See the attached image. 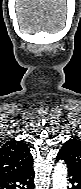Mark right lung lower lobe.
I'll list each match as a JSON object with an SVG mask.
<instances>
[{
  "mask_svg": "<svg viewBox=\"0 0 81 189\" xmlns=\"http://www.w3.org/2000/svg\"><path fill=\"white\" fill-rule=\"evenodd\" d=\"M31 162L26 168L0 179V189H34V171Z\"/></svg>",
  "mask_w": 81,
  "mask_h": 189,
  "instance_id": "1",
  "label": "right lung lower lobe"
}]
</instances>
